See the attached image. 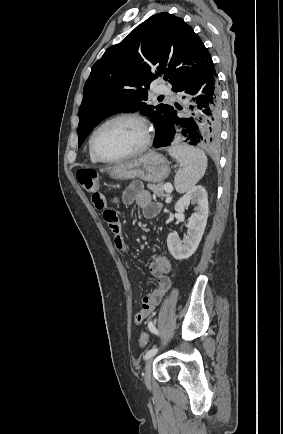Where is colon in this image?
<instances>
[{
    "label": "colon",
    "instance_id": "colon-1",
    "mask_svg": "<svg viewBox=\"0 0 283 434\" xmlns=\"http://www.w3.org/2000/svg\"><path fill=\"white\" fill-rule=\"evenodd\" d=\"M77 180L82 188L89 192L95 193L97 192L99 185V177L96 171L91 169H80L77 172ZM149 335L146 332H142L139 337V346L145 347L148 343Z\"/></svg>",
    "mask_w": 283,
    "mask_h": 434
}]
</instances>
